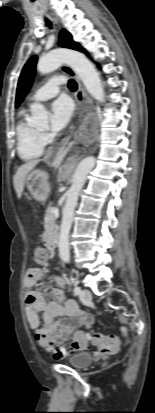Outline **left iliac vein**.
Instances as JSON below:
<instances>
[{"instance_id":"1","label":"left iliac vein","mask_w":155,"mask_h":413,"mask_svg":"<svg viewBox=\"0 0 155 413\" xmlns=\"http://www.w3.org/2000/svg\"><path fill=\"white\" fill-rule=\"evenodd\" d=\"M80 300L82 302H88L92 298V294L88 289H83L79 294Z\"/></svg>"}]
</instances>
